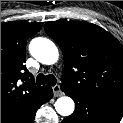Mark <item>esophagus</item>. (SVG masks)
<instances>
[{"instance_id": "esophagus-1", "label": "esophagus", "mask_w": 123, "mask_h": 123, "mask_svg": "<svg viewBox=\"0 0 123 123\" xmlns=\"http://www.w3.org/2000/svg\"><path fill=\"white\" fill-rule=\"evenodd\" d=\"M52 89H53V94H54L55 97H60V96L63 95V93H62L61 88H60L59 85L53 86Z\"/></svg>"}]
</instances>
